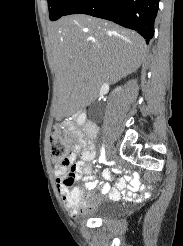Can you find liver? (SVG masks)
Wrapping results in <instances>:
<instances>
[{"mask_svg":"<svg viewBox=\"0 0 183 246\" xmlns=\"http://www.w3.org/2000/svg\"><path fill=\"white\" fill-rule=\"evenodd\" d=\"M59 113L76 112L104 82L136 72L145 59V40L136 32L87 15H71L48 28Z\"/></svg>","mask_w":183,"mask_h":246,"instance_id":"liver-1","label":"liver"}]
</instances>
